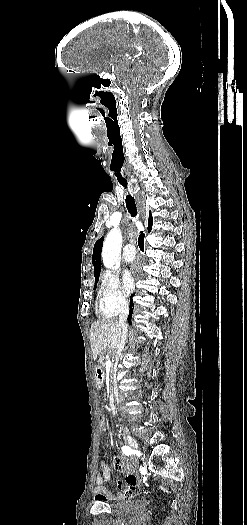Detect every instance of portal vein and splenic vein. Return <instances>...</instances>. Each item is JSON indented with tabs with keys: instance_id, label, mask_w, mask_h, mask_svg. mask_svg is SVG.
Listing matches in <instances>:
<instances>
[{
	"instance_id": "obj_1",
	"label": "portal vein and splenic vein",
	"mask_w": 247,
	"mask_h": 525,
	"mask_svg": "<svg viewBox=\"0 0 247 525\" xmlns=\"http://www.w3.org/2000/svg\"><path fill=\"white\" fill-rule=\"evenodd\" d=\"M111 362H113V357H108L105 363L106 383H110L109 373H111Z\"/></svg>"
}]
</instances>
